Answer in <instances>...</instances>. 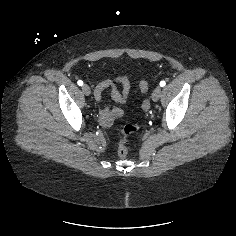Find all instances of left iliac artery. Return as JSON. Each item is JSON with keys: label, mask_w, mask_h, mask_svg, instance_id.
<instances>
[{"label": "left iliac artery", "mask_w": 236, "mask_h": 236, "mask_svg": "<svg viewBox=\"0 0 236 236\" xmlns=\"http://www.w3.org/2000/svg\"><path fill=\"white\" fill-rule=\"evenodd\" d=\"M165 85H166V82L162 80V81L160 82V86H161V87H164Z\"/></svg>", "instance_id": "obj_1"}]
</instances>
